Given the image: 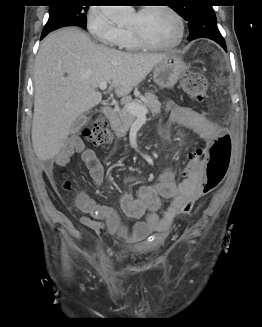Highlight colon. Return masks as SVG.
I'll use <instances>...</instances> for the list:
<instances>
[{"label": "colon", "instance_id": "obj_1", "mask_svg": "<svg viewBox=\"0 0 262 327\" xmlns=\"http://www.w3.org/2000/svg\"><path fill=\"white\" fill-rule=\"evenodd\" d=\"M184 93L195 101L207 98L208 82L199 72H187L180 80ZM84 139L96 146L106 145L111 141L112 132L105 114H99L91 127L83 131ZM200 149V148H198ZM231 158V137L227 131H221L212 145L204 152L205 179L200 190L188 197L181 208V213L188 214L195 204L205 195L216 189L224 180Z\"/></svg>", "mask_w": 262, "mask_h": 327}]
</instances>
